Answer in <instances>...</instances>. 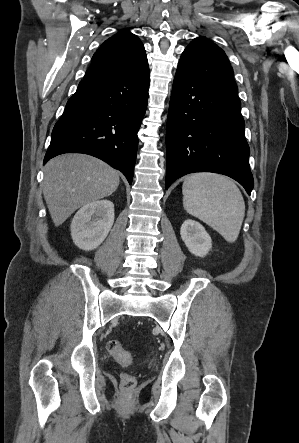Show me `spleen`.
Wrapping results in <instances>:
<instances>
[{"label":"spleen","mask_w":299,"mask_h":443,"mask_svg":"<svg viewBox=\"0 0 299 443\" xmlns=\"http://www.w3.org/2000/svg\"><path fill=\"white\" fill-rule=\"evenodd\" d=\"M185 210L234 242L245 215V203L236 184L217 174H193L183 183Z\"/></svg>","instance_id":"3e777b00"}]
</instances>
